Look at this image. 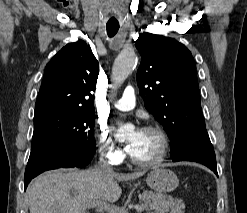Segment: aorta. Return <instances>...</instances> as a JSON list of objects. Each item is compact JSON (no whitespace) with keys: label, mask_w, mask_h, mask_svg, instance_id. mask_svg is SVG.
<instances>
[{"label":"aorta","mask_w":247,"mask_h":213,"mask_svg":"<svg viewBox=\"0 0 247 213\" xmlns=\"http://www.w3.org/2000/svg\"><path fill=\"white\" fill-rule=\"evenodd\" d=\"M136 63L137 57L134 52L124 51L120 53L112 69V80L115 87L119 86L125 81V79L130 75ZM131 128V125H124L120 128L119 131L124 133Z\"/></svg>","instance_id":"obj_1"}]
</instances>
